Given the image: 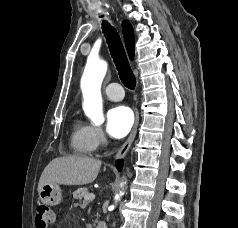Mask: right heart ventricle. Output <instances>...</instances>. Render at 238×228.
I'll use <instances>...</instances> for the list:
<instances>
[{
	"label": "right heart ventricle",
	"mask_w": 238,
	"mask_h": 228,
	"mask_svg": "<svg viewBox=\"0 0 238 228\" xmlns=\"http://www.w3.org/2000/svg\"><path fill=\"white\" fill-rule=\"evenodd\" d=\"M70 145L75 153L81 155L91 154L95 150L90 137L89 126L79 118H75L72 122Z\"/></svg>",
	"instance_id": "1"
}]
</instances>
